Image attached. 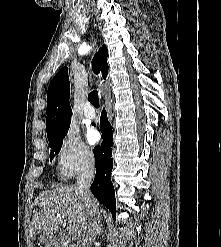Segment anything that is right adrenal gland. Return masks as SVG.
Instances as JSON below:
<instances>
[{
  "label": "right adrenal gland",
  "instance_id": "1",
  "mask_svg": "<svg viewBox=\"0 0 221 247\" xmlns=\"http://www.w3.org/2000/svg\"><path fill=\"white\" fill-rule=\"evenodd\" d=\"M103 232H104L103 226H102V224H100V226L98 228V234L103 236Z\"/></svg>",
  "mask_w": 221,
  "mask_h": 247
}]
</instances>
